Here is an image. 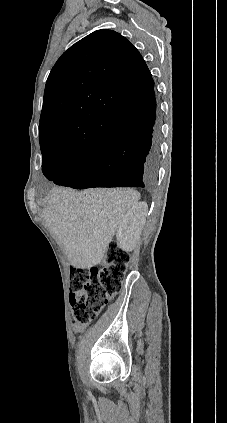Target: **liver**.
<instances>
[{
  "label": "liver",
  "mask_w": 227,
  "mask_h": 423,
  "mask_svg": "<svg viewBox=\"0 0 227 423\" xmlns=\"http://www.w3.org/2000/svg\"><path fill=\"white\" fill-rule=\"evenodd\" d=\"M139 200V192L130 188H54L42 217L63 243L71 265L89 269L104 259L118 223Z\"/></svg>",
  "instance_id": "obj_1"
}]
</instances>
